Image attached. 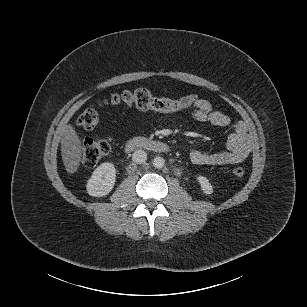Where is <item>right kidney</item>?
Segmentation results:
<instances>
[{"instance_id":"1","label":"right kidney","mask_w":307,"mask_h":307,"mask_svg":"<svg viewBox=\"0 0 307 307\" xmlns=\"http://www.w3.org/2000/svg\"><path fill=\"white\" fill-rule=\"evenodd\" d=\"M116 183V169L112 163L105 162L97 167L87 180L86 191L90 197L108 196Z\"/></svg>"}]
</instances>
